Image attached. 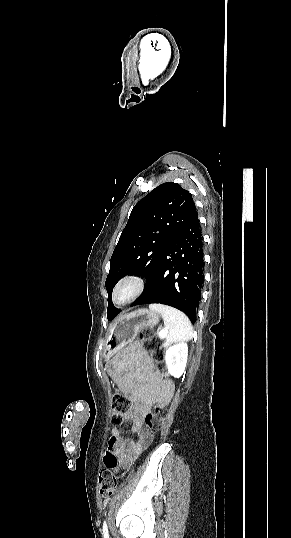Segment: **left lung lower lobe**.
<instances>
[{
  "instance_id": "obj_1",
  "label": "left lung lower lobe",
  "mask_w": 291,
  "mask_h": 538,
  "mask_svg": "<svg viewBox=\"0 0 291 538\" xmlns=\"http://www.w3.org/2000/svg\"><path fill=\"white\" fill-rule=\"evenodd\" d=\"M203 239L196 214L160 257L141 296L131 306L165 304L196 322L204 282Z\"/></svg>"
}]
</instances>
